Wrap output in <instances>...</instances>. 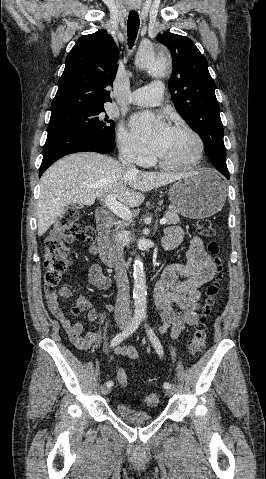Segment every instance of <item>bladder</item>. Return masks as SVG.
Returning <instances> with one entry per match:
<instances>
[{
    "label": "bladder",
    "instance_id": "obj_1",
    "mask_svg": "<svg viewBox=\"0 0 266 479\" xmlns=\"http://www.w3.org/2000/svg\"><path fill=\"white\" fill-rule=\"evenodd\" d=\"M119 417L130 423H146L153 419V414L144 410L132 408L127 403L120 402L116 405Z\"/></svg>",
    "mask_w": 266,
    "mask_h": 479
}]
</instances>
